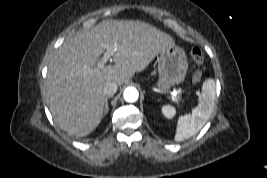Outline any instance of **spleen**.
Listing matches in <instances>:
<instances>
[{
    "label": "spleen",
    "mask_w": 267,
    "mask_h": 178,
    "mask_svg": "<svg viewBox=\"0 0 267 178\" xmlns=\"http://www.w3.org/2000/svg\"><path fill=\"white\" fill-rule=\"evenodd\" d=\"M214 100L215 83L212 79H209L202 86L197 107L192 110L191 114L179 117L174 137L175 141L180 142L188 139L201 130L212 113ZM161 111L168 119L173 118L176 114L175 108L170 105L162 106Z\"/></svg>",
    "instance_id": "obj_1"
}]
</instances>
